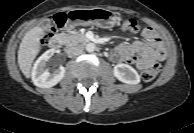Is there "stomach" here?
<instances>
[{"label":"stomach","mask_w":194,"mask_h":133,"mask_svg":"<svg viewBox=\"0 0 194 133\" xmlns=\"http://www.w3.org/2000/svg\"><path fill=\"white\" fill-rule=\"evenodd\" d=\"M117 21L114 12L102 9H73L69 12L68 28L95 25L100 28H112Z\"/></svg>","instance_id":"0dacf381"}]
</instances>
